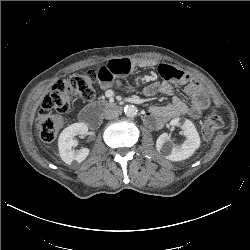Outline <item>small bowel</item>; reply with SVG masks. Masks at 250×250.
<instances>
[{"label": "small bowel", "instance_id": "1", "mask_svg": "<svg viewBox=\"0 0 250 250\" xmlns=\"http://www.w3.org/2000/svg\"><path fill=\"white\" fill-rule=\"evenodd\" d=\"M147 65V63H143ZM136 64L129 59L112 60L101 66L97 72L98 81L103 88H111L117 78L129 74ZM159 73L163 81L150 83L143 89V94L151 97L158 92L172 96V102L166 106H151L146 115L150 127L161 128L167 122L177 117L188 115L194 119L200 117L208 106V98L200 85L185 72L169 65H160ZM175 85H183L188 102L175 94Z\"/></svg>", "mask_w": 250, "mask_h": 250}]
</instances>
